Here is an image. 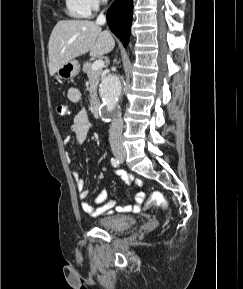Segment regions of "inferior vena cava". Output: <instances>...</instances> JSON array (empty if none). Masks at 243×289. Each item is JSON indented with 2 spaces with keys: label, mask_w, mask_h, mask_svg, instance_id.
Instances as JSON below:
<instances>
[{
  "label": "inferior vena cava",
  "mask_w": 243,
  "mask_h": 289,
  "mask_svg": "<svg viewBox=\"0 0 243 289\" xmlns=\"http://www.w3.org/2000/svg\"><path fill=\"white\" fill-rule=\"evenodd\" d=\"M96 23L98 25H104L106 23V17L103 13H100V15L97 17ZM122 130H123V120L121 114H117V116L113 118L109 130V142L111 150L114 154L125 152V148L123 146L121 139Z\"/></svg>",
  "instance_id": "inferior-vena-cava-1"
}]
</instances>
